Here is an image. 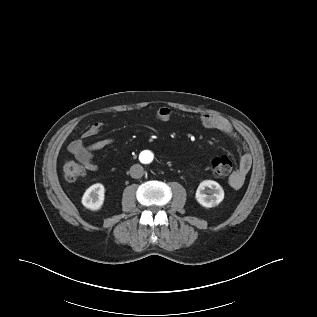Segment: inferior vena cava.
<instances>
[{
    "label": "inferior vena cava",
    "mask_w": 317,
    "mask_h": 317,
    "mask_svg": "<svg viewBox=\"0 0 317 317\" xmlns=\"http://www.w3.org/2000/svg\"><path fill=\"white\" fill-rule=\"evenodd\" d=\"M129 173L132 178H141L143 176L144 169L140 164H134L131 166Z\"/></svg>",
    "instance_id": "inferior-vena-cava-1"
}]
</instances>
